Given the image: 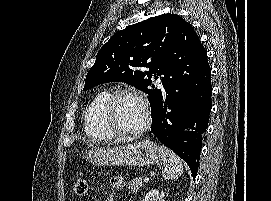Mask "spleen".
I'll use <instances>...</instances> for the list:
<instances>
[{
	"instance_id": "1",
	"label": "spleen",
	"mask_w": 271,
	"mask_h": 201,
	"mask_svg": "<svg viewBox=\"0 0 271 201\" xmlns=\"http://www.w3.org/2000/svg\"><path fill=\"white\" fill-rule=\"evenodd\" d=\"M164 170L162 175L165 179L175 180L183 174V164L181 159L170 149L165 146L159 148Z\"/></svg>"
}]
</instances>
